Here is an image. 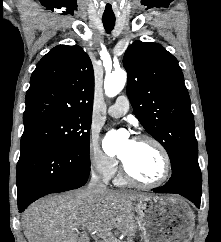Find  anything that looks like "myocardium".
I'll return each mask as SVG.
<instances>
[{
	"instance_id": "f54148a6",
	"label": "myocardium",
	"mask_w": 221,
	"mask_h": 242,
	"mask_svg": "<svg viewBox=\"0 0 221 242\" xmlns=\"http://www.w3.org/2000/svg\"><path fill=\"white\" fill-rule=\"evenodd\" d=\"M135 140L148 141L155 145V147L158 149V151L160 152L162 159H163V172H162V175L153 182L143 181L132 174V172L129 170L127 164L125 163L124 159L121 156H119L124 177L129 182L142 186V187H145V188H154V187L160 186L168 179V177L170 175V171H171V159H170L167 149L158 139H156L155 137L148 135V134L139 135L135 138Z\"/></svg>"
}]
</instances>
